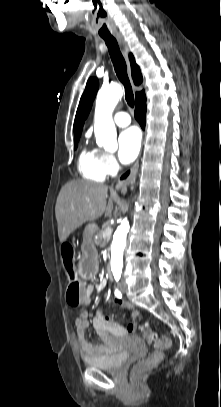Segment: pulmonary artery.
<instances>
[{
  "label": "pulmonary artery",
  "instance_id": "e3ab8cb5",
  "mask_svg": "<svg viewBox=\"0 0 221 407\" xmlns=\"http://www.w3.org/2000/svg\"><path fill=\"white\" fill-rule=\"evenodd\" d=\"M114 122L119 127H126L131 123V118L127 112L121 111L115 114Z\"/></svg>",
  "mask_w": 221,
  "mask_h": 407
}]
</instances>
